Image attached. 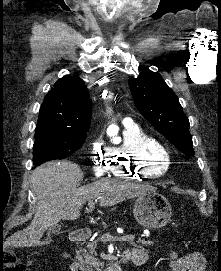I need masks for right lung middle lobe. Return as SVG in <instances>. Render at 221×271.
Masks as SVG:
<instances>
[{"label":"right lung middle lobe","mask_w":221,"mask_h":271,"mask_svg":"<svg viewBox=\"0 0 221 271\" xmlns=\"http://www.w3.org/2000/svg\"><path fill=\"white\" fill-rule=\"evenodd\" d=\"M86 136L87 134L58 135L51 133H35L33 168L46 161L67 158L83 145Z\"/></svg>","instance_id":"1"}]
</instances>
